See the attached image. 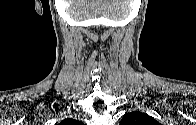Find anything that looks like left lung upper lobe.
<instances>
[{
    "label": "left lung upper lobe",
    "instance_id": "obj_1",
    "mask_svg": "<svg viewBox=\"0 0 196 125\" xmlns=\"http://www.w3.org/2000/svg\"><path fill=\"white\" fill-rule=\"evenodd\" d=\"M159 123L150 116L135 111L123 116L120 125H158Z\"/></svg>",
    "mask_w": 196,
    "mask_h": 125
}]
</instances>
